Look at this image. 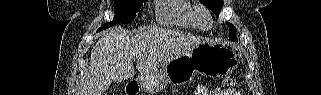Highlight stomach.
<instances>
[{
	"label": "stomach",
	"instance_id": "obj_1",
	"mask_svg": "<svg viewBox=\"0 0 321 95\" xmlns=\"http://www.w3.org/2000/svg\"><path fill=\"white\" fill-rule=\"evenodd\" d=\"M238 56L232 48L218 41L204 40L191 51L169 61L160 69L141 73L136 84L142 91H159L167 84L182 85L196 74L223 77L232 72Z\"/></svg>",
	"mask_w": 321,
	"mask_h": 95
}]
</instances>
